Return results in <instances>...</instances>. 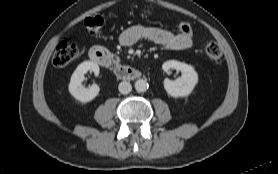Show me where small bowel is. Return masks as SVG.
Here are the masks:
<instances>
[{
	"mask_svg": "<svg viewBox=\"0 0 278 174\" xmlns=\"http://www.w3.org/2000/svg\"><path fill=\"white\" fill-rule=\"evenodd\" d=\"M141 40H148L162 45L169 50H186L192 47V36L173 33L158 27L132 25L120 34L119 41L124 46H131Z\"/></svg>",
	"mask_w": 278,
	"mask_h": 174,
	"instance_id": "c3829d8e",
	"label": "small bowel"
}]
</instances>
